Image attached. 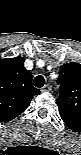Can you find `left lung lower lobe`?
<instances>
[{
  "label": "left lung lower lobe",
  "instance_id": "0a47b994",
  "mask_svg": "<svg viewBox=\"0 0 81 155\" xmlns=\"http://www.w3.org/2000/svg\"><path fill=\"white\" fill-rule=\"evenodd\" d=\"M61 118L63 119L64 123L73 131H76V132L81 131V121L69 119V118L62 117V116H61Z\"/></svg>",
  "mask_w": 81,
  "mask_h": 155
}]
</instances>
